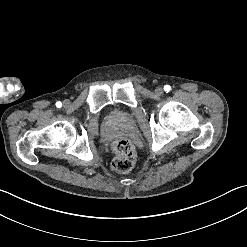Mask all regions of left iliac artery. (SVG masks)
<instances>
[{
  "label": "left iliac artery",
  "instance_id": "1",
  "mask_svg": "<svg viewBox=\"0 0 247 247\" xmlns=\"http://www.w3.org/2000/svg\"><path fill=\"white\" fill-rule=\"evenodd\" d=\"M164 90H165L166 92H169V91L171 90V87H170L169 85H165V86H164Z\"/></svg>",
  "mask_w": 247,
  "mask_h": 247
}]
</instances>
